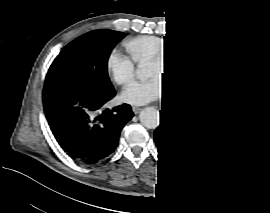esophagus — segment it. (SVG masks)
<instances>
[{
  "mask_svg": "<svg viewBox=\"0 0 270 213\" xmlns=\"http://www.w3.org/2000/svg\"><path fill=\"white\" fill-rule=\"evenodd\" d=\"M140 110L137 106H132V111L136 114Z\"/></svg>",
  "mask_w": 270,
  "mask_h": 213,
  "instance_id": "obj_1",
  "label": "esophagus"
}]
</instances>
